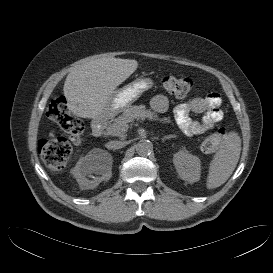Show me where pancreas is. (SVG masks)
Masks as SVG:
<instances>
[{
	"label": "pancreas",
	"instance_id": "cf45deb5",
	"mask_svg": "<svg viewBox=\"0 0 273 273\" xmlns=\"http://www.w3.org/2000/svg\"><path fill=\"white\" fill-rule=\"evenodd\" d=\"M148 118L150 120H157L158 116L155 112L151 110H147L144 105H130L126 109L123 110V113L121 116L115 119L114 123L109 127L113 128L114 130L119 129L122 126H127L129 128L128 123L132 122L135 119H144ZM107 133L112 136H120L123 137L124 133L122 134H116V133H110L107 129Z\"/></svg>",
	"mask_w": 273,
	"mask_h": 273
}]
</instances>
